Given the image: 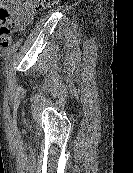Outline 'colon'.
<instances>
[{"label":"colon","instance_id":"1","mask_svg":"<svg viewBox=\"0 0 133 173\" xmlns=\"http://www.w3.org/2000/svg\"><path fill=\"white\" fill-rule=\"evenodd\" d=\"M59 0H34L36 9H44L58 3ZM13 21L10 13L5 8H0V46L5 48L11 43Z\"/></svg>","mask_w":133,"mask_h":173}]
</instances>
